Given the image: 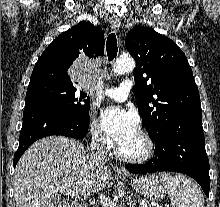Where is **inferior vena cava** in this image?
Masks as SVG:
<instances>
[{"instance_id": "602c4592", "label": "inferior vena cava", "mask_w": 220, "mask_h": 207, "mask_svg": "<svg viewBox=\"0 0 220 207\" xmlns=\"http://www.w3.org/2000/svg\"><path fill=\"white\" fill-rule=\"evenodd\" d=\"M105 138L104 136H95L93 143L91 145V160L95 164L106 162V152L104 148Z\"/></svg>"}]
</instances>
